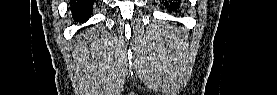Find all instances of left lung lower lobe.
Wrapping results in <instances>:
<instances>
[{"instance_id": "0a47b994", "label": "left lung lower lobe", "mask_w": 277, "mask_h": 95, "mask_svg": "<svg viewBox=\"0 0 277 95\" xmlns=\"http://www.w3.org/2000/svg\"><path fill=\"white\" fill-rule=\"evenodd\" d=\"M162 1L164 2L165 7L169 13L174 12L179 7V4H180V1H177V0H168V1L162 0Z\"/></svg>"}]
</instances>
